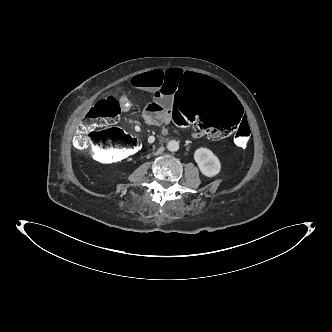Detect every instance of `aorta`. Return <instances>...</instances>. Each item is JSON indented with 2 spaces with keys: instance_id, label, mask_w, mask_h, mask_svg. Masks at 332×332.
Instances as JSON below:
<instances>
[{
  "instance_id": "obj_1",
  "label": "aorta",
  "mask_w": 332,
  "mask_h": 332,
  "mask_svg": "<svg viewBox=\"0 0 332 332\" xmlns=\"http://www.w3.org/2000/svg\"><path fill=\"white\" fill-rule=\"evenodd\" d=\"M167 149L171 152H176L179 149V143L176 140H171L167 143Z\"/></svg>"
}]
</instances>
